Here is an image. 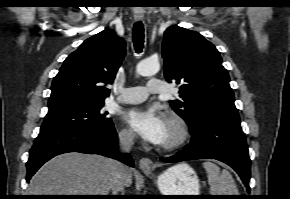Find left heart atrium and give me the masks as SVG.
<instances>
[{
	"instance_id": "1",
	"label": "left heart atrium",
	"mask_w": 290,
	"mask_h": 199,
	"mask_svg": "<svg viewBox=\"0 0 290 199\" xmlns=\"http://www.w3.org/2000/svg\"><path fill=\"white\" fill-rule=\"evenodd\" d=\"M125 121L143 140L160 145L167 120L157 108L131 109L125 115Z\"/></svg>"
}]
</instances>
